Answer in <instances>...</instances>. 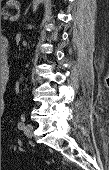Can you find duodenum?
Masks as SVG:
<instances>
[{
    "mask_svg": "<svg viewBox=\"0 0 109 170\" xmlns=\"http://www.w3.org/2000/svg\"><path fill=\"white\" fill-rule=\"evenodd\" d=\"M7 45H8L7 39L5 38L1 39V52L3 54L4 62L7 61Z\"/></svg>",
    "mask_w": 109,
    "mask_h": 170,
    "instance_id": "duodenum-1",
    "label": "duodenum"
}]
</instances>
